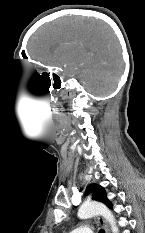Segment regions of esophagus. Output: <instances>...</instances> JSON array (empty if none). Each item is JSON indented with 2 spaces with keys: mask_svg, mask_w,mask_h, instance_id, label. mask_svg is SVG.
Listing matches in <instances>:
<instances>
[{
  "mask_svg": "<svg viewBox=\"0 0 145 233\" xmlns=\"http://www.w3.org/2000/svg\"><path fill=\"white\" fill-rule=\"evenodd\" d=\"M98 221H99V223L104 227L105 233H110V232H109L108 225H107V223L104 221V219H103V218H99Z\"/></svg>",
  "mask_w": 145,
  "mask_h": 233,
  "instance_id": "1",
  "label": "esophagus"
}]
</instances>
